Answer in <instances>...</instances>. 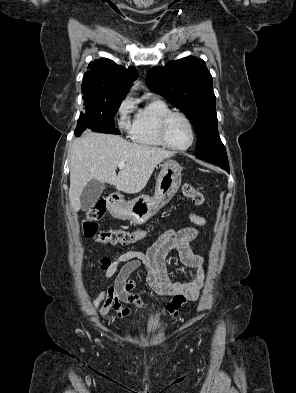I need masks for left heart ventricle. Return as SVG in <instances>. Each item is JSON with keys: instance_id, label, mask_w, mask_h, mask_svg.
<instances>
[{"instance_id": "b2bd125f", "label": "left heart ventricle", "mask_w": 296, "mask_h": 393, "mask_svg": "<svg viewBox=\"0 0 296 393\" xmlns=\"http://www.w3.org/2000/svg\"><path fill=\"white\" fill-rule=\"evenodd\" d=\"M167 137L171 144L177 147H184L191 140L190 129L180 117H174L167 128Z\"/></svg>"}]
</instances>
